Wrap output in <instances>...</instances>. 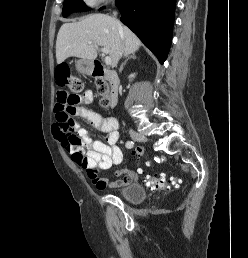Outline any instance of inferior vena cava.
<instances>
[{"label":"inferior vena cava","mask_w":248,"mask_h":258,"mask_svg":"<svg viewBox=\"0 0 248 258\" xmlns=\"http://www.w3.org/2000/svg\"><path fill=\"white\" fill-rule=\"evenodd\" d=\"M114 16H116V13L114 12ZM118 27H119V29L121 30V25H120V23L118 22Z\"/></svg>","instance_id":"inferior-vena-cava-1"}]
</instances>
